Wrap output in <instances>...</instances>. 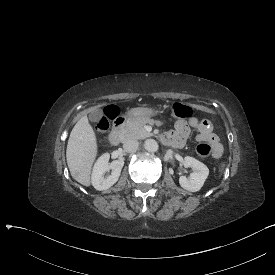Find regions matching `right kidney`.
<instances>
[{
    "label": "right kidney",
    "mask_w": 275,
    "mask_h": 275,
    "mask_svg": "<svg viewBox=\"0 0 275 275\" xmlns=\"http://www.w3.org/2000/svg\"><path fill=\"white\" fill-rule=\"evenodd\" d=\"M110 154L104 153L96 161L91 176V182L96 190L102 191L114 185L120 176L124 161L115 160L109 163ZM112 170L111 175L104 177L105 173Z\"/></svg>",
    "instance_id": "1"
}]
</instances>
